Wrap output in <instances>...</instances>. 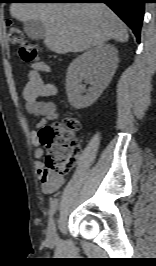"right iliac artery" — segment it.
Returning <instances> with one entry per match:
<instances>
[{
  "mask_svg": "<svg viewBox=\"0 0 156 266\" xmlns=\"http://www.w3.org/2000/svg\"><path fill=\"white\" fill-rule=\"evenodd\" d=\"M57 209V200H53L50 205L49 217L51 218Z\"/></svg>",
  "mask_w": 156,
  "mask_h": 266,
  "instance_id": "82829eb1",
  "label": "right iliac artery"
}]
</instances>
